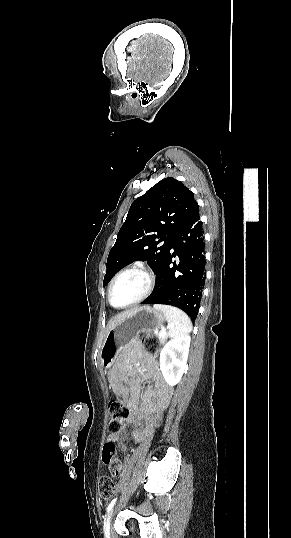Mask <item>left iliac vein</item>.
Here are the masks:
<instances>
[{
    "label": "left iliac vein",
    "mask_w": 291,
    "mask_h": 538,
    "mask_svg": "<svg viewBox=\"0 0 291 538\" xmlns=\"http://www.w3.org/2000/svg\"><path fill=\"white\" fill-rule=\"evenodd\" d=\"M112 515H113V510H111L109 512V514L107 515L106 519H105V522H104V532H105V536L107 538H109L110 536V523H111V519H112Z\"/></svg>",
    "instance_id": "4c4485c4"
}]
</instances>
